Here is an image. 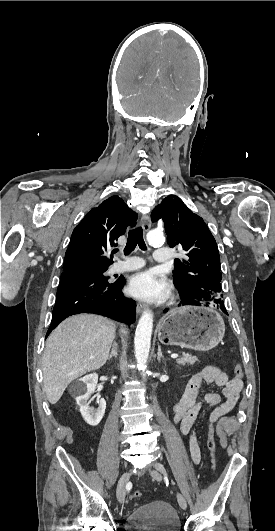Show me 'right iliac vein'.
I'll return each mask as SVG.
<instances>
[{"label": "right iliac vein", "instance_id": "right-iliac-vein-1", "mask_svg": "<svg viewBox=\"0 0 275 531\" xmlns=\"http://www.w3.org/2000/svg\"><path fill=\"white\" fill-rule=\"evenodd\" d=\"M128 481H129V473L127 472L124 473L118 481V484L116 487V495L120 503H123L125 500L126 486L128 484Z\"/></svg>", "mask_w": 275, "mask_h": 531}]
</instances>
